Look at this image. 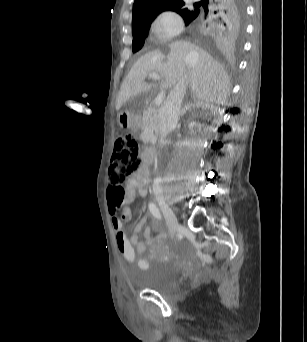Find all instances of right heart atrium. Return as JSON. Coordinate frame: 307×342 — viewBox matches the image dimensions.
Returning a JSON list of instances; mask_svg holds the SVG:
<instances>
[{
    "label": "right heart atrium",
    "instance_id": "d8ad5b80",
    "mask_svg": "<svg viewBox=\"0 0 307 342\" xmlns=\"http://www.w3.org/2000/svg\"><path fill=\"white\" fill-rule=\"evenodd\" d=\"M184 31L181 17L172 11L156 14L146 27V37L153 43H167Z\"/></svg>",
    "mask_w": 307,
    "mask_h": 342
}]
</instances>
